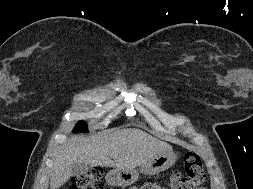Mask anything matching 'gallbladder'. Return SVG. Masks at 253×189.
I'll list each match as a JSON object with an SVG mask.
<instances>
[{"label":"gallbladder","mask_w":253,"mask_h":189,"mask_svg":"<svg viewBox=\"0 0 253 189\" xmlns=\"http://www.w3.org/2000/svg\"><path fill=\"white\" fill-rule=\"evenodd\" d=\"M90 166L84 163H76L72 169V176H80L89 171Z\"/></svg>","instance_id":"bac80fb5"}]
</instances>
